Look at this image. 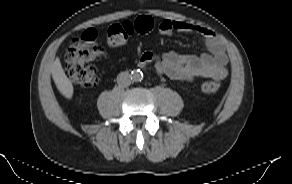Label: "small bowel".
<instances>
[{"label":"small bowel","mask_w":292,"mask_h":184,"mask_svg":"<svg viewBox=\"0 0 292 184\" xmlns=\"http://www.w3.org/2000/svg\"><path fill=\"white\" fill-rule=\"evenodd\" d=\"M154 23L155 28L163 35L186 32L201 36L207 52L200 55H180L176 52H166L161 56L144 53L140 58L141 65L153 61L157 72L173 80H193L199 77L221 80L227 75L228 57L226 50L211 29L180 20L165 19L158 23L154 21Z\"/></svg>","instance_id":"1"}]
</instances>
